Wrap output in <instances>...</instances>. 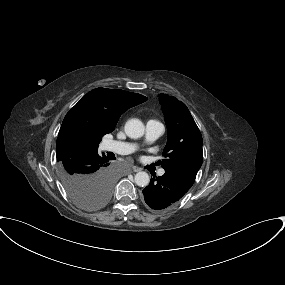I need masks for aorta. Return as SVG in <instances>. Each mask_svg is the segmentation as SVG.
Here are the masks:
<instances>
[{
    "label": "aorta",
    "mask_w": 285,
    "mask_h": 285,
    "mask_svg": "<svg viewBox=\"0 0 285 285\" xmlns=\"http://www.w3.org/2000/svg\"><path fill=\"white\" fill-rule=\"evenodd\" d=\"M125 133L128 137L138 139L144 135V125L136 118L129 119L124 126ZM150 177L148 173L141 171L135 175V183L138 186L145 187L149 184Z\"/></svg>",
    "instance_id": "obj_1"
}]
</instances>
